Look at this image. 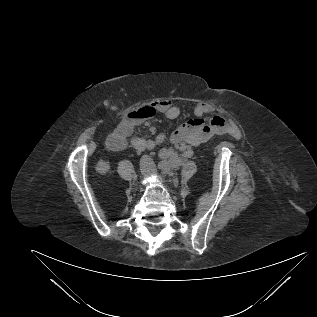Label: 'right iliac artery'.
<instances>
[{
    "instance_id": "1",
    "label": "right iliac artery",
    "mask_w": 317,
    "mask_h": 317,
    "mask_svg": "<svg viewBox=\"0 0 317 317\" xmlns=\"http://www.w3.org/2000/svg\"><path fill=\"white\" fill-rule=\"evenodd\" d=\"M165 167H166V164L163 163V162H160V163L158 164V168H159V169H164Z\"/></svg>"
}]
</instances>
